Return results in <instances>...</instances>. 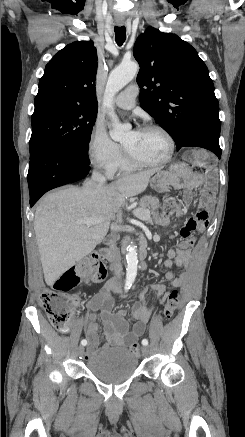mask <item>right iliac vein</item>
Masks as SVG:
<instances>
[{"label":"right iliac vein","mask_w":245,"mask_h":437,"mask_svg":"<svg viewBox=\"0 0 245 437\" xmlns=\"http://www.w3.org/2000/svg\"><path fill=\"white\" fill-rule=\"evenodd\" d=\"M83 353H84V347L83 346L78 347V355H83Z\"/></svg>","instance_id":"63e3f726"}]
</instances>
